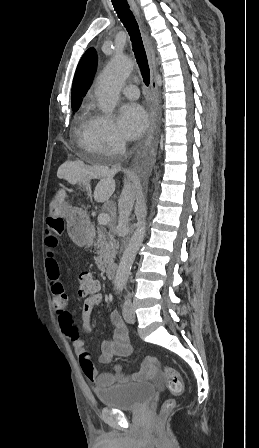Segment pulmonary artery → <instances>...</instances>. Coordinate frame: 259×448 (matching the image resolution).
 Instances as JSON below:
<instances>
[{"mask_svg": "<svg viewBox=\"0 0 259 448\" xmlns=\"http://www.w3.org/2000/svg\"><path fill=\"white\" fill-rule=\"evenodd\" d=\"M114 62L119 74H121L124 77H127L131 73L134 66V61L132 57L128 55H120L114 60ZM119 90L128 98L137 99L139 97L137 88L133 84L122 85L119 88Z\"/></svg>", "mask_w": 259, "mask_h": 448, "instance_id": "1", "label": "pulmonary artery"}]
</instances>
